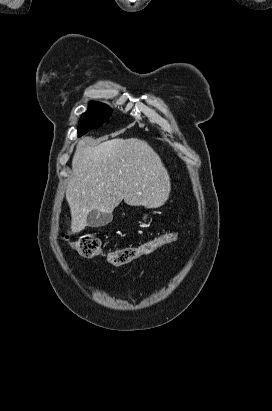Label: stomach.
I'll return each mask as SVG.
<instances>
[{
    "instance_id": "0dacf381",
    "label": "stomach",
    "mask_w": 272,
    "mask_h": 411,
    "mask_svg": "<svg viewBox=\"0 0 272 411\" xmlns=\"http://www.w3.org/2000/svg\"><path fill=\"white\" fill-rule=\"evenodd\" d=\"M147 218H148L147 214L143 215V220H146Z\"/></svg>"
}]
</instances>
